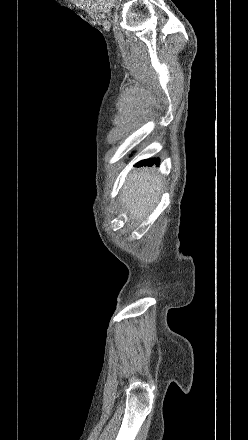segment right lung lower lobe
<instances>
[{
	"label": "right lung lower lobe",
	"mask_w": 248,
	"mask_h": 440,
	"mask_svg": "<svg viewBox=\"0 0 248 440\" xmlns=\"http://www.w3.org/2000/svg\"><path fill=\"white\" fill-rule=\"evenodd\" d=\"M153 164H156L158 166L159 165V160L158 159L142 160V161L138 162L137 164H135V166L136 167L152 166Z\"/></svg>",
	"instance_id": "obj_1"
}]
</instances>
